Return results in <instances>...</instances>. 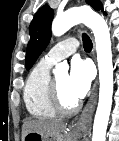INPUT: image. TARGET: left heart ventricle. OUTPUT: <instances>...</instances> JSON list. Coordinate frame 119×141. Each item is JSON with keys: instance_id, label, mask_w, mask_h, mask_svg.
Segmentation results:
<instances>
[{"instance_id": "left-heart-ventricle-1", "label": "left heart ventricle", "mask_w": 119, "mask_h": 141, "mask_svg": "<svg viewBox=\"0 0 119 141\" xmlns=\"http://www.w3.org/2000/svg\"><path fill=\"white\" fill-rule=\"evenodd\" d=\"M55 80L63 104L68 107L73 106L77 102V100L68 91L67 88L68 75L65 73L60 74L55 78Z\"/></svg>"}]
</instances>
